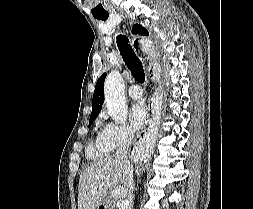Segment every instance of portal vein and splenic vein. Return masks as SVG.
<instances>
[{
    "label": "portal vein and splenic vein",
    "instance_id": "obj_1",
    "mask_svg": "<svg viewBox=\"0 0 253 209\" xmlns=\"http://www.w3.org/2000/svg\"><path fill=\"white\" fill-rule=\"evenodd\" d=\"M113 193H114L115 195H118V194L120 193V188L114 189ZM128 206H129L128 200H123V201L121 202L120 206H119V209H127Z\"/></svg>",
    "mask_w": 253,
    "mask_h": 209
}]
</instances>
